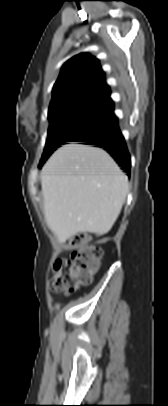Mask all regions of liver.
Here are the masks:
<instances>
[{"instance_id": "obj_1", "label": "liver", "mask_w": 168, "mask_h": 406, "mask_svg": "<svg viewBox=\"0 0 168 406\" xmlns=\"http://www.w3.org/2000/svg\"><path fill=\"white\" fill-rule=\"evenodd\" d=\"M44 216L60 243L77 233H108L128 193V179L103 149L59 148L40 173Z\"/></svg>"}]
</instances>
